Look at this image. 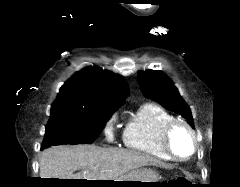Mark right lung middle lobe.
Instances as JSON below:
<instances>
[{
    "label": "right lung middle lobe",
    "mask_w": 240,
    "mask_h": 187,
    "mask_svg": "<svg viewBox=\"0 0 240 187\" xmlns=\"http://www.w3.org/2000/svg\"><path fill=\"white\" fill-rule=\"evenodd\" d=\"M113 111L73 107L51 108L42 147L48 148L58 144H91Z\"/></svg>",
    "instance_id": "right-lung-middle-lobe-1"
}]
</instances>
